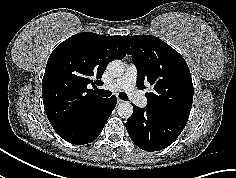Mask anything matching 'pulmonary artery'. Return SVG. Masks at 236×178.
I'll list each match as a JSON object with an SVG mask.
<instances>
[{
	"mask_svg": "<svg viewBox=\"0 0 236 178\" xmlns=\"http://www.w3.org/2000/svg\"><path fill=\"white\" fill-rule=\"evenodd\" d=\"M138 71L134 64H128L123 76L111 84L105 85L108 91H125L138 106H146L147 98L137 89Z\"/></svg>",
	"mask_w": 236,
	"mask_h": 178,
	"instance_id": "e3ab8cb5",
	"label": "pulmonary artery"
}]
</instances>
